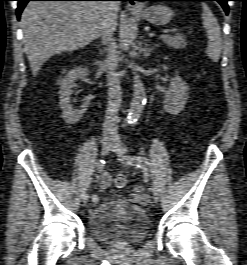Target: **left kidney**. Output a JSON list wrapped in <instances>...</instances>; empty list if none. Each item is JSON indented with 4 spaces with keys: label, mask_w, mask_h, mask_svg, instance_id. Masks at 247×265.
I'll return each instance as SVG.
<instances>
[{
    "label": "left kidney",
    "mask_w": 247,
    "mask_h": 265,
    "mask_svg": "<svg viewBox=\"0 0 247 265\" xmlns=\"http://www.w3.org/2000/svg\"><path fill=\"white\" fill-rule=\"evenodd\" d=\"M189 98L188 86L177 74L170 82L168 91L164 95L163 104L169 114L177 115L180 113Z\"/></svg>",
    "instance_id": "left-kidney-1"
}]
</instances>
